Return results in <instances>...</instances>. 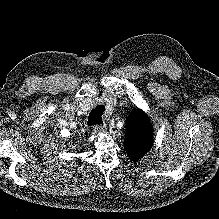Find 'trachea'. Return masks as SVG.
<instances>
[{
  "instance_id": "obj_1",
  "label": "trachea",
  "mask_w": 219,
  "mask_h": 219,
  "mask_svg": "<svg viewBox=\"0 0 219 219\" xmlns=\"http://www.w3.org/2000/svg\"><path fill=\"white\" fill-rule=\"evenodd\" d=\"M105 107L104 105H97L89 114L88 116V125H101L103 124L102 121V113L104 112Z\"/></svg>"
}]
</instances>
